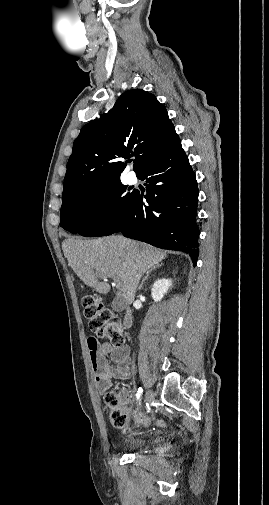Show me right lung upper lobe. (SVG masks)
I'll list each match as a JSON object with an SVG mask.
<instances>
[{"label": "right lung upper lobe", "mask_w": 269, "mask_h": 505, "mask_svg": "<svg viewBox=\"0 0 269 505\" xmlns=\"http://www.w3.org/2000/svg\"><path fill=\"white\" fill-rule=\"evenodd\" d=\"M179 142L167 110L153 94L126 91L112 110L82 127L67 163L62 201L120 180L126 164L119 158L135 156L138 175Z\"/></svg>", "instance_id": "cb5924a9"}]
</instances>
